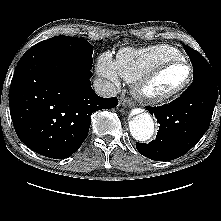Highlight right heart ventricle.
I'll use <instances>...</instances> for the list:
<instances>
[{"label": "right heart ventricle", "instance_id": "e07e8e85", "mask_svg": "<svg viewBox=\"0 0 221 221\" xmlns=\"http://www.w3.org/2000/svg\"><path fill=\"white\" fill-rule=\"evenodd\" d=\"M183 58L180 50L162 44L139 49L124 48L118 52L115 64L119 76L132 83L167 61Z\"/></svg>", "mask_w": 221, "mask_h": 221}]
</instances>
